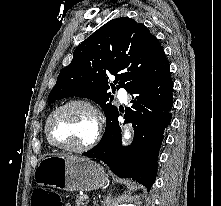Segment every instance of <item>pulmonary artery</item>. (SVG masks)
Wrapping results in <instances>:
<instances>
[{
  "label": "pulmonary artery",
  "mask_w": 221,
  "mask_h": 206,
  "mask_svg": "<svg viewBox=\"0 0 221 206\" xmlns=\"http://www.w3.org/2000/svg\"><path fill=\"white\" fill-rule=\"evenodd\" d=\"M127 92L125 89L121 88L118 91V98L122 101V102H126L127 101Z\"/></svg>",
  "instance_id": "pulmonary-artery-1"
}]
</instances>
